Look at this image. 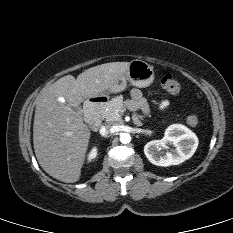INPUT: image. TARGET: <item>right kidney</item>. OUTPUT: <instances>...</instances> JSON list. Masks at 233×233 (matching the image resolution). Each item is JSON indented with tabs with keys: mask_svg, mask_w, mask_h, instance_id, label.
<instances>
[{
	"mask_svg": "<svg viewBox=\"0 0 233 233\" xmlns=\"http://www.w3.org/2000/svg\"><path fill=\"white\" fill-rule=\"evenodd\" d=\"M96 156H97V149H96V147H94V148L91 150V152H90V154H89V156H88V159H89V160H92V159H94Z\"/></svg>",
	"mask_w": 233,
	"mask_h": 233,
	"instance_id": "right-kidney-1",
	"label": "right kidney"
}]
</instances>
